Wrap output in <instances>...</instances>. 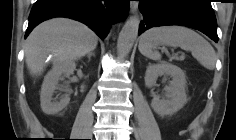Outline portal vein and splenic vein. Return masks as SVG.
<instances>
[{
    "label": "portal vein and splenic vein",
    "mask_w": 236,
    "mask_h": 140,
    "mask_svg": "<svg viewBox=\"0 0 236 140\" xmlns=\"http://www.w3.org/2000/svg\"><path fill=\"white\" fill-rule=\"evenodd\" d=\"M184 58H185L184 55H181V56L179 57L180 60H184Z\"/></svg>",
    "instance_id": "portal-vein-and-splenic-vein-1"
}]
</instances>
